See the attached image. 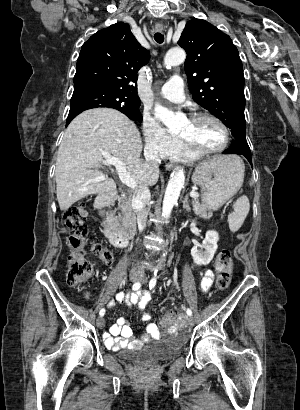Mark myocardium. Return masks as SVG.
Segmentation results:
<instances>
[{
    "instance_id": "myocardium-1",
    "label": "myocardium",
    "mask_w": 300,
    "mask_h": 410,
    "mask_svg": "<svg viewBox=\"0 0 300 410\" xmlns=\"http://www.w3.org/2000/svg\"><path fill=\"white\" fill-rule=\"evenodd\" d=\"M204 119H208V120H212V121L216 122L222 128V130L224 132L225 139H224L223 144L220 147L216 148V149L201 150L197 146H195L192 143V141H190L187 138H184V137L180 136V139H181L183 145L185 146V148L191 154H193L195 157H204V156H210V155H213V154L220 153V152L224 151L227 148V146L230 142V139H231L230 129L227 126V124L222 119H220L219 117H217L213 114L205 113V112L195 113L191 116L190 121L197 122V121L204 120Z\"/></svg>"
}]
</instances>
